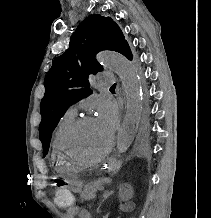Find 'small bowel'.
I'll use <instances>...</instances> for the list:
<instances>
[{"mask_svg":"<svg viewBox=\"0 0 211 218\" xmlns=\"http://www.w3.org/2000/svg\"><path fill=\"white\" fill-rule=\"evenodd\" d=\"M81 212H82V210L78 209L77 207H73V208L69 209V213H72V214L77 213L80 218H81Z\"/></svg>","mask_w":211,"mask_h":218,"instance_id":"c3829d8e","label":"small bowel"}]
</instances>
